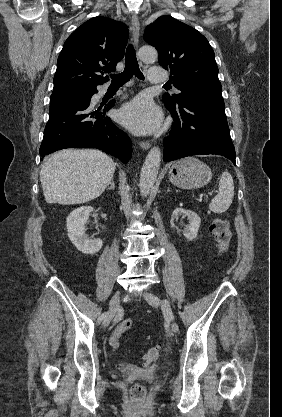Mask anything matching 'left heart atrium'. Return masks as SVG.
I'll use <instances>...</instances> for the list:
<instances>
[{
	"label": "left heart atrium",
	"instance_id": "39dd6f15",
	"mask_svg": "<svg viewBox=\"0 0 282 417\" xmlns=\"http://www.w3.org/2000/svg\"><path fill=\"white\" fill-rule=\"evenodd\" d=\"M121 120L137 132H150L157 129L161 113L147 97H138L127 104L120 112Z\"/></svg>",
	"mask_w": 282,
	"mask_h": 417
}]
</instances>
